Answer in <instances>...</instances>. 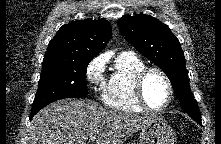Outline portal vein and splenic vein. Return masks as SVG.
<instances>
[{"instance_id": "18ae733b", "label": "portal vein and splenic vein", "mask_w": 221, "mask_h": 144, "mask_svg": "<svg viewBox=\"0 0 221 144\" xmlns=\"http://www.w3.org/2000/svg\"><path fill=\"white\" fill-rule=\"evenodd\" d=\"M96 137H90V141H94Z\"/></svg>"}]
</instances>
